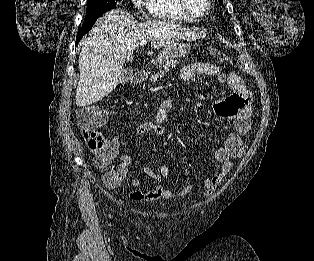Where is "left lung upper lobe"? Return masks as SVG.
<instances>
[{
  "mask_svg": "<svg viewBox=\"0 0 314 261\" xmlns=\"http://www.w3.org/2000/svg\"><path fill=\"white\" fill-rule=\"evenodd\" d=\"M220 4H223V0H218Z\"/></svg>",
  "mask_w": 314,
  "mask_h": 261,
  "instance_id": "left-lung-upper-lobe-1",
  "label": "left lung upper lobe"
}]
</instances>
